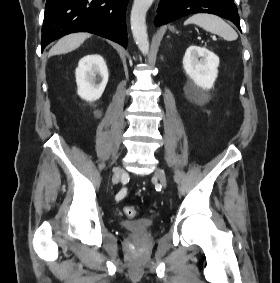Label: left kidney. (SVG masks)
I'll list each match as a JSON object with an SVG mask.
<instances>
[{"instance_id": "obj_1", "label": "left kidney", "mask_w": 280, "mask_h": 283, "mask_svg": "<svg viewBox=\"0 0 280 283\" xmlns=\"http://www.w3.org/2000/svg\"><path fill=\"white\" fill-rule=\"evenodd\" d=\"M219 58L204 47L191 45L183 58V68L193 82L203 90L213 87L218 75Z\"/></svg>"}]
</instances>
